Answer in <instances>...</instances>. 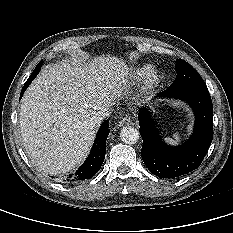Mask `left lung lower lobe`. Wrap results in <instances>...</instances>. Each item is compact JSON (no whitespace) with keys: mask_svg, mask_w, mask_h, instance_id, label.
Masks as SVG:
<instances>
[{"mask_svg":"<svg viewBox=\"0 0 233 233\" xmlns=\"http://www.w3.org/2000/svg\"><path fill=\"white\" fill-rule=\"evenodd\" d=\"M159 97L186 101L196 116L190 139L176 147L166 145L159 135L148 108L139 110L141 150L146 167L162 178L179 177L195 170L203 161L213 139V107L206 86L168 88Z\"/></svg>","mask_w":233,"mask_h":233,"instance_id":"1","label":"left lung lower lobe"}]
</instances>
